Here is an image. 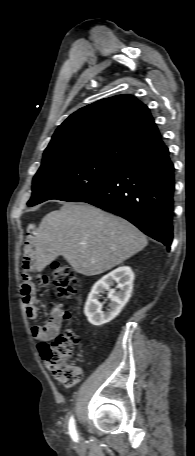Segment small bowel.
<instances>
[{
	"instance_id": "obj_1",
	"label": "small bowel",
	"mask_w": 195,
	"mask_h": 456,
	"mask_svg": "<svg viewBox=\"0 0 195 456\" xmlns=\"http://www.w3.org/2000/svg\"><path fill=\"white\" fill-rule=\"evenodd\" d=\"M36 242V229L33 224H30L27 228L23 261H22V272L24 277V283L21 287V298L24 305L26 316L33 320L38 316V309L35 301V285L30 280V274L34 268V245ZM39 286L46 287L49 284V280L46 276L39 277ZM61 311L58 306L54 308L50 319L44 325H36L31 328L32 336L39 341H50L55 338L61 329Z\"/></svg>"
}]
</instances>
